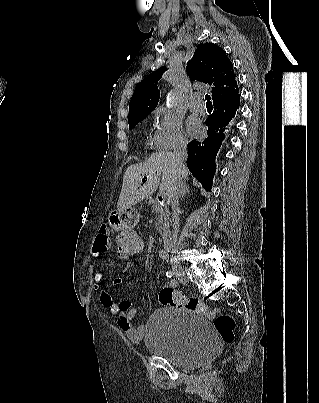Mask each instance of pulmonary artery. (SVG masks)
<instances>
[{
  "instance_id": "obj_1",
  "label": "pulmonary artery",
  "mask_w": 319,
  "mask_h": 403,
  "mask_svg": "<svg viewBox=\"0 0 319 403\" xmlns=\"http://www.w3.org/2000/svg\"><path fill=\"white\" fill-rule=\"evenodd\" d=\"M192 111L204 113L206 110L205 102L201 96H195L189 104Z\"/></svg>"
}]
</instances>
